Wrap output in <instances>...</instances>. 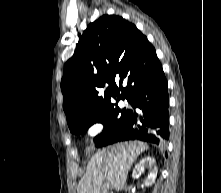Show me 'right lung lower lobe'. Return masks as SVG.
Instances as JSON below:
<instances>
[{
  "mask_svg": "<svg viewBox=\"0 0 221 193\" xmlns=\"http://www.w3.org/2000/svg\"><path fill=\"white\" fill-rule=\"evenodd\" d=\"M130 99L131 110L126 125L105 145L118 141L139 139L163 144L169 139L168 85L160 62L136 85Z\"/></svg>",
  "mask_w": 221,
  "mask_h": 193,
  "instance_id": "1",
  "label": "right lung lower lobe"
}]
</instances>
